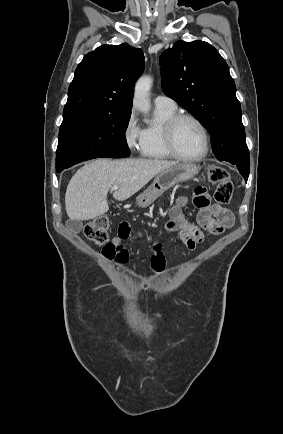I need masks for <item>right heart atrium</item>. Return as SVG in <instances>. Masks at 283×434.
<instances>
[{"mask_svg": "<svg viewBox=\"0 0 283 434\" xmlns=\"http://www.w3.org/2000/svg\"><path fill=\"white\" fill-rule=\"evenodd\" d=\"M123 138L129 150H138L141 147L143 129L139 126L136 115L132 111L124 125Z\"/></svg>", "mask_w": 283, "mask_h": 434, "instance_id": "right-heart-atrium-1", "label": "right heart atrium"}]
</instances>
